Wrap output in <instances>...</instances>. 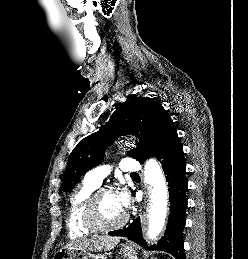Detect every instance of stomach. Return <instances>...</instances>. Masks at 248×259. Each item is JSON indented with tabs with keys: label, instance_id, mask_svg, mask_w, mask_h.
Segmentation results:
<instances>
[{
	"label": "stomach",
	"instance_id": "0dacf381",
	"mask_svg": "<svg viewBox=\"0 0 248 259\" xmlns=\"http://www.w3.org/2000/svg\"><path fill=\"white\" fill-rule=\"evenodd\" d=\"M123 259H138L134 246L124 244L120 248ZM108 253L94 254L90 251L80 250L74 247L62 248L55 252L53 259H108Z\"/></svg>",
	"mask_w": 248,
	"mask_h": 259
}]
</instances>
